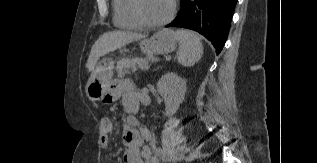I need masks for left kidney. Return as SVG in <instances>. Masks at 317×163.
<instances>
[{
  "label": "left kidney",
  "instance_id": "obj_1",
  "mask_svg": "<svg viewBox=\"0 0 317 163\" xmlns=\"http://www.w3.org/2000/svg\"><path fill=\"white\" fill-rule=\"evenodd\" d=\"M157 90L164 98L166 115L176 113L186 93V80L174 72L164 74L157 83Z\"/></svg>",
  "mask_w": 317,
  "mask_h": 163
}]
</instances>
